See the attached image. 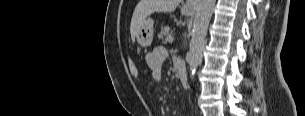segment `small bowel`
Returning a JSON list of instances; mask_svg holds the SVG:
<instances>
[{"label": "small bowel", "mask_w": 305, "mask_h": 116, "mask_svg": "<svg viewBox=\"0 0 305 116\" xmlns=\"http://www.w3.org/2000/svg\"><path fill=\"white\" fill-rule=\"evenodd\" d=\"M168 56V51L158 46L149 52L146 56V63L152 72V79L156 83H160L163 79V64Z\"/></svg>", "instance_id": "1"}]
</instances>
